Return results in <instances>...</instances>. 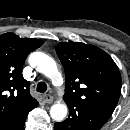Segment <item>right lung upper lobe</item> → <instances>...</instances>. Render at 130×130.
Segmentation results:
<instances>
[{"label":"right lung upper lobe","mask_w":130,"mask_h":130,"mask_svg":"<svg viewBox=\"0 0 130 130\" xmlns=\"http://www.w3.org/2000/svg\"><path fill=\"white\" fill-rule=\"evenodd\" d=\"M43 44L40 39L20 38L14 33L0 35V127L15 122L38 105L23 78L28 54Z\"/></svg>","instance_id":"cb5924a9"}]
</instances>
